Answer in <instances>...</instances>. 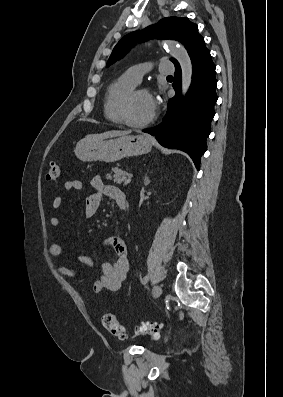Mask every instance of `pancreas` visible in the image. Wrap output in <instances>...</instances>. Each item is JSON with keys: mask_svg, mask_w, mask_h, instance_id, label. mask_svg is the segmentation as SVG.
Returning a JSON list of instances; mask_svg holds the SVG:
<instances>
[{"mask_svg": "<svg viewBox=\"0 0 283 397\" xmlns=\"http://www.w3.org/2000/svg\"><path fill=\"white\" fill-rule=\"evenodd\" d=\"M126 171L119 168L117 165L116 167L112 168V173L106 176L107 179L111 180L113 178V182L115 184L121 185L124 182V186H127L130 183V180L127 179Z\"/></svg>", "mask_w": 283, "mask_h": 397, "instance_id": "1", "label": "pancreas"}]
</instances>
